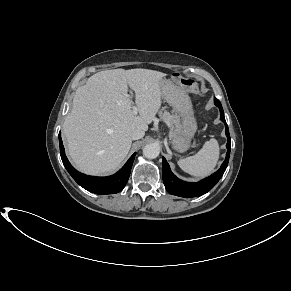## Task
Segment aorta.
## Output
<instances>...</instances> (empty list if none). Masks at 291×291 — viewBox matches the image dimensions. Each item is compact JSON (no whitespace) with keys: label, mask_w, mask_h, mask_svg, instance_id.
<instances>
[{"label":"aorta","mask_w":291,"mask_h":291,"mask_svg":"<svg viewBox=\"0 0 291 291\" xmlns=\"http://www.w3.org/2000/svg\"><path fill=\"white\" fill-rule=\"evenodd\" d=\"M160 153V148L156 144H148L143 148V155L148 159H155Z\"/></svg>","instance_id":"aorta-1"}]
</instances>
